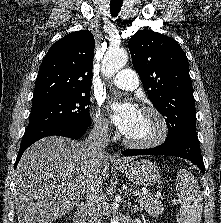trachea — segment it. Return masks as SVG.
<instances>
[{"mask_svg":"<svg viewBox=\"0 0 221 223\" xmlns=\"http://www.w3.org/2000/svg\"><path fill=\"white\" fill-rule=\"evenodd\" d=\"M122 0H111L110 2V12L113 17H116L121 10Z\"/></svg>","mask_w":221,"mask_h":223,"instance_id":"trachea-1","label":"trachea"}]
</instances>
